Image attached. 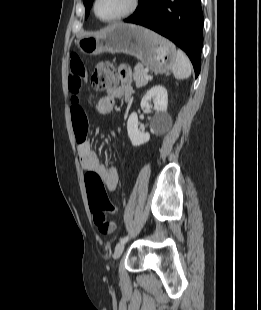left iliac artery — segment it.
I'll use <instances>...</instances> for the list:
<instances>
[{"instance_id":"1","label":"left iliac artery","mask_w":261,"mask_h":310,"mask_svg":"<svg viewBox=\"0 0 261 310\" xmlns=\"http://www.w3.org/2000/svg\"><path fill=\"white\" fill-rule=\"evenodd\" d=\"M127 240H128V236L121 238L120 242H127Z\"/></svg>"}]
</instances>
